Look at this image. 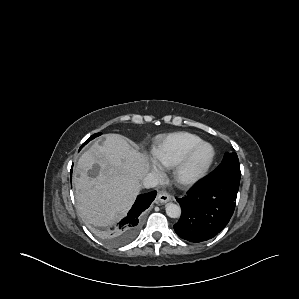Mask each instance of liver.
<instances>
[{"label":"liver","mask_w":299,"mask_h":299,"mask_svg":"<svg viewBox=\"0 0 299 299\" xmlns=\"http://www.w3.org/2000/svg\"><path fill=\"white\" fill-rule=\"evenodd\" d=\"M94 165L96 177L88 176ZM149 171L147 158L119 134H107L78 160L73 184L78 212L89 224L106 227L127 214Z\"/></svg>","instance_id":"obj_1"}]
</instances>
